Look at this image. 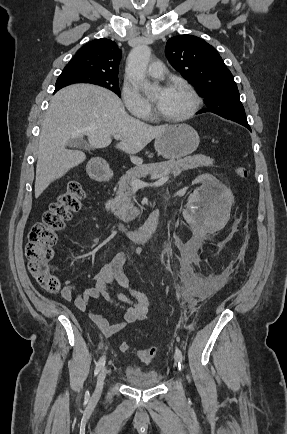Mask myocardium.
<instances>
[{"instance_id":"f54148a6","label":"myocardium","mask_w":287,"mask_h":434,"mask_svg":"<svg viewBox=\"0 0 287 434\" xmlns=\"http://www.w3.org/2000/svg\"><path fill=\"white\" fill-rule=\"evenodd\" d=\"M167 87L168 88L178 87V88L185 90L191 98V105H190L189 109L183 115H180L177 117L165 116V115L161 114L158 109H156V111H155L156 116L160 120L167 122V123H182V122H185L188 119L192 118L198 112L200 105H201V99H200L197 91L194 89V87L191 84H189L188 82H186L184 80H179V79L170 81L168 83Z\"/></svg>"}]
</instances>
